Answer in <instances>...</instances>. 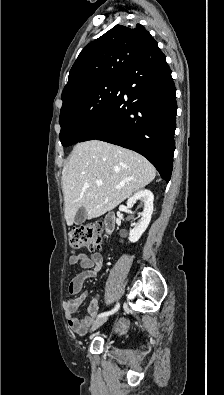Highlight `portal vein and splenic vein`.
<instances>
[{
    "instance_id": "portal-vein-and-splenic-vein-1",
    "label": "portal vein and splenic vein",
    "mask_w": 224,
    "mask_h": 395,
    "mask_svg": "<svg viewBox=\"0 0 224 395\" xmlns=\"http://www.w3.org/2000/svg\"><path fill=\"white\" fill-rule=\"evenodd\" d=\"M96 184H97L98 186H102V185H103L102 181H96ZM121 187H122V186H116L115 189H120Z\"/></svg>"
}]
</instances>
